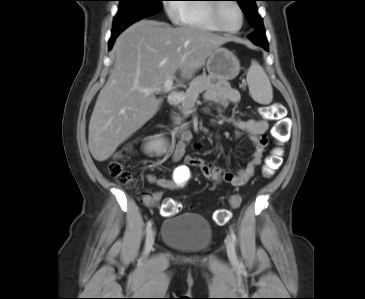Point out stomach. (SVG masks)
<instances>
[{
	"label": "stomach",
	"mask_w": 365,
	"mask_h": 299,
	"mask_svg": "<svg viewBox=\"0 0 365 299\" xmlns=\"http://www.w3.org/2000/svg\"><path fill=\"white\" fill-rule=\"evenodd\" d=\"M206 68L212 78L232 80L240 71V62L233 52L219 47L208 57Z\"/></svg>",
	"instance_id": "0dacf381"
}]
</instances>
